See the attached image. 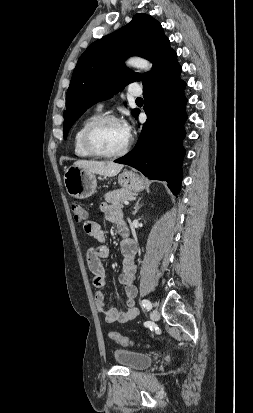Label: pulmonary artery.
<instances>
[{
  "label": "pulmonary artery",
  "instance_id": "pulmonary-artery-1",
  "mask_svg": "<svg viewBox=\"0 0 253 413\" xmlns=\"http://www.w3.org/2000/svg\"><path fill=\"white\" fill-rule=\"evenodd\" d=\"M128 92L131 96H140L142 93L141 88L137 84H131L128 88ZM103 108V103L98 104V109L101 110Z\"/></svg>",
  "mask_w": 253,
  "mask_h": 413
}]
</instances>
